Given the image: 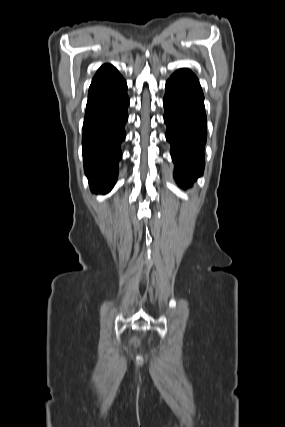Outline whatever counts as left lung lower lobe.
I'll list each match as a JSON object with an SVG mask.
<instances>
[{
	"label": "left lung lower lobe",
	"instance_id": "1",
	"mask_svg": "<svg viewBox=\"0 0 285 427\" xmlns=\"http://www.w3.org/2000/svg\"><path fill=\"white\" fill-rule=\"evenodd\" d=\"M163 103L175 178L188 187L203 174L207 137L204 96L197 77L189 69L173 73L166 83Z\"/></svg>",
	"mask_w": 285,
	"mask_h": 427
}]
</instances>
